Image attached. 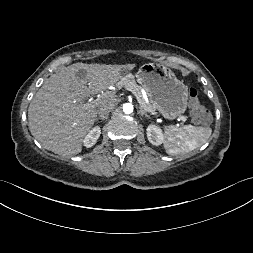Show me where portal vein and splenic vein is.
Wrapping results in <instances>:
<instances>
[{
    "label": "portal vein and splenic vein",
    "instance_id": "obj_1",
    "mask_svg": "<svg viewBox=\"0 0 253 253\" xmlns=\"http://www.w3.org/2000/svg\"><path fill=\"white\" fill-rule=\"evenodd\" d=\"M125 89L127 91H130L136 97L137 101L140 103V105H142L145 108V110L147 112L151 113L152 115H157V113L154 110H152L150 107L145 105L143 100L137 95V93L135 92V90L132 87L126 86ZM107 99H108V96L101 95L95 100L90 99L89 104L98 105L100 101H104V100H107ZM179 118H180V120H182L184 122L186 121V118L184 116H180Z\"/></svg>",
    "mask_w": 253,
    "mask_h": 253
}]
</instances>
